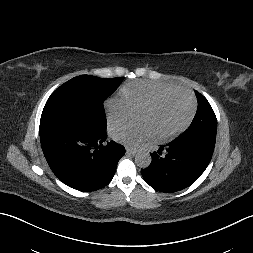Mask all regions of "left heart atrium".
I'll return each mask as SVG.
<instances>
[{
  "label": "left heart atrium",
  "mask_w": 253,
  "mask_h": 253,
  "mask_svg": "<svg viewBox=\"0 0 253 253\" xmlns=\"http://www.w3.org/2000/svg\"><path fill=\"white\" fill-rule=\"evenodd\" d=\"M111 137L121 144L136 146L143 141L151 139L153 131L146 123L139 125L116 124L111 128Z\"/></svg>",
  "instance_id": "1"
}]
</instances>
